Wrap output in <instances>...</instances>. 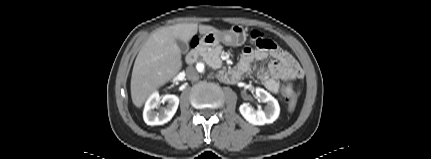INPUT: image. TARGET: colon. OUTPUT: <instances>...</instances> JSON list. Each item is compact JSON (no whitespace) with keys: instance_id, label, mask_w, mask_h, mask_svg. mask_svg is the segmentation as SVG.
Segmentation results:
<instances>
[{"instance_id":"5ec220e1","label":"colon","mask_w":431,"mask_h":159,"mask_svg":"<svg viewBox=\"0 0 431 159\" xmlns=\"http://www.w3.org/2000/svg\"><path fill=\"white\" fill-rule=\"evenodd\" d=\"M263 34L259 31H253L251 33V36L249 37L248 40V45L249 46H254L255 42H260L261 39H263ZM285 84L281 83V88H280V95H281V100L283 103L288 102L289 103V110L293 111L295 109L296 103L293 101V98L296 96L295 94H293L291 97L285 96L284 95V89H285Z\"/></svg>"}]
</instances>
